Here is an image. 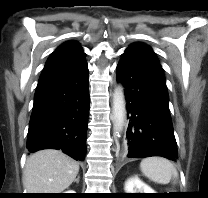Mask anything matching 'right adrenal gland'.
Listing matches in <instances>:
<instances>
[{
	"label": "right adrenal gland",
	"mask_w": 208,
	"mask_h": 198,
	"mask_svg": "<svg viewBox=\"0 0 208 198\" xmlns=\"http://www.w3.org/2000/svg\"><path fill=\"white\" fill-rule=\"evenodd\" d=\"M77 183H79V176H78V178L75 180Z\"/></svg>",
	"instance_id": "right-adrenal-gland-1"
}]
</instances>
